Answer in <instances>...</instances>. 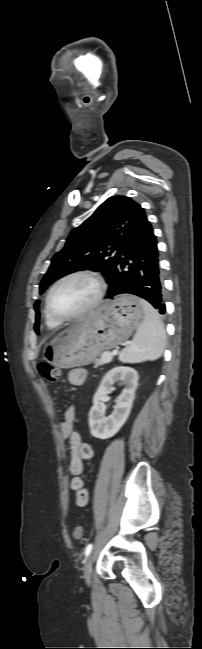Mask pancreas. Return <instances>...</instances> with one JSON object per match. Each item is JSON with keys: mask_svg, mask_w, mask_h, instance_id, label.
<instances>
[{"mask_svg": "<svg viewBox=\"0 0 202 649\" xmlns=\"http://www.w3.org/2000/svg\"><path fill=\"white\" fill-rule=\"evenodd\" d=\"M104 364H105V363L101 360V358H100V359H96V360H95L94 368H97V367L102 366V365H104Z\"/></svg>", "mask_w": 202, "mask_h": 649, "instance_id": "1", "label": "pancreas"}]
</instances>
